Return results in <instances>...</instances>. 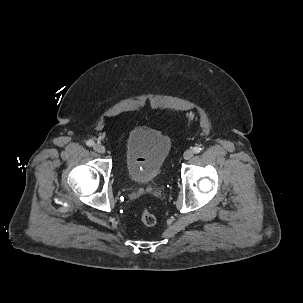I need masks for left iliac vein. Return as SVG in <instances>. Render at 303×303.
<instances>
[{
    "mask_svg": "<svg viewBox=\"0 0 303 303\" xmlns=\"http://www.w3.org/2000/svg\"><path fill=\"white\" fill-rule=\"evenodd\" d=\"M193 155H194V151L191 149H188L184 152L183 157L185 160H189L193 157Z\"/></svg>",
    "mask_w": 303,
    "mask_h": 303,
    "instance_id": "left-iliac-vein-1",
    "label": "left iliac vein"
}]
</instances>
